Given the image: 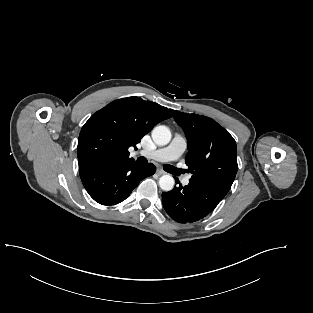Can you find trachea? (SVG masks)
<instances>
[{
    "mask_svg": "<svg viewBox=\"0 0 313 313\" xmlns=\"http://www.w3.org/2000/svg\"><path fill=\"white\" fill-rule=\"evenodd\" d=\"M137 162H138V163H141V164H145V163H147L148 161H147V159H146L145 157H139V158L137 159ZM164 169H165L167 172H170V171L173 169V167L170 166V165H165V166H164Z\"/></svg>",
    "mask_w": 313,
    "mask_h": 313,
    "instance_id": "trachea-1",
    "label": "trachea"
}]
</instances>
